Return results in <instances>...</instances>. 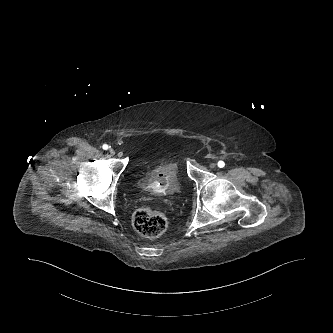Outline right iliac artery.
Returning a JSON list of instances; mask_svg holds the SVG:
<instances>
[{
  "instance_id": "1",
  "label": "right iliac artery",
  "mask_w": 333,
  "mask_h": 333,
  "mask_svg": "<svg viewBox=\"0 0 333 333\" xmlns=\"http://www.w3.org/2000/svg\"><path fill=\"white\" fill-rule=\"evenodd\" d=\"M102 148H103L104 150H107L109 147H108L107 144H104V145L102 146Z\"/></svg>"
}]
</instances>
